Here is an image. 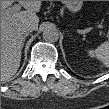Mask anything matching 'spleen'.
<instances>
[{"label":"spleen","mask_w":109,"mask_h":109,"mask_svg":"<svg viewBox=\"0 0 109 109\" xmlns=\"http://www.w3.org/2000/svg\"><path fill=\"white\" fill-rule=\"evenodd\" d=\"M88 55L90 57H96L107 66L109 64V42L106 41L102 43L95 50H89Z\"/></svg>","instance_id":"spleen-1"}]
</instances>
